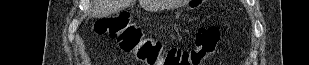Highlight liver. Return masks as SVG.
Wrapping results in <instances>:
<instances>
[{"label": "liver", "instance_id": "obj_1", "mask_svg": "<svg viewBox=\"0 0 309 65\" xmlns=\"http://www.w3.org/2000/svg\"><path fill=\"white\" fill-rule=\"evenodd\" d=\"M140 4L143 8L151 11H155L162 7L161 3L155 0H140ZM92 9L90 11V17H107L114 13L119 12L125 7L130 5L129 0H91Z\"/></svg>", "mask_w": 309, "mask_h": 65}]
</instances>
